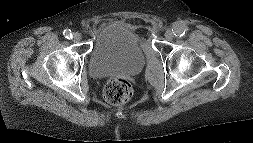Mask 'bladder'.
Segmentation results:
<instances>
[{
    "mask_svg": "<svg viewBox=\"0 0 253 143\" xmlns=\"http://www.w3.org/2000/svg\"><path fill=\"white\" fill-rule=\"evenodd\" d=\"M146 61V41L139 30L122 19L103 21L95 35L89 58L88 70L91 76L135 75L144 68Z\"/></svg>",
    "mask_w": 253,
    "mask_h": 143,
    "instance_id": "1",
    "label": "bladder"
}]
</instances>
